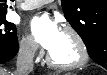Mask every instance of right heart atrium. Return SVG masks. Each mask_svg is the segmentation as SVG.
<instances>
[{"label": "right heart atrium", "instance_id": "d8ad5b80", "mask_svg": "<svg viewBox=\"0 0 107 75\" xmlns=\"http://www.w3.org/2000/svg\"><path fill=\"white\" fill-rule=\"evenodd\" d=\"M20 54L26 59H34L38 57L39 50L34 39L29 35H24L19 43Z\"/></svg>", "mask_w": 107, "mask_h": 75}]
</instances>
